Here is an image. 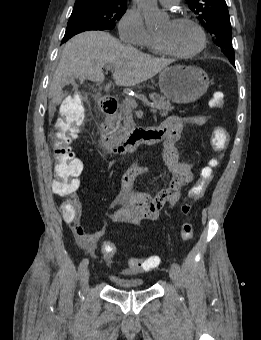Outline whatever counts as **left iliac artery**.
Returning a JSON list of instances; mask_svg holds the SVG:
<instances>
[{"mask_svg": "<svg viewBox=\"0 0 261 340\" xmlns=\"http://www.w3.org/2000/svg\"><path fill=\"white\" fill-rule=\"evenodd\" d=\"M171 267L177 270L178 272L180 271V266L177 263H173Z\"/></svg>", "mask_w": 261, "mask_h": 340, "instance_id": "obj_1", "label": "left iliac artery"}]
</instances>
